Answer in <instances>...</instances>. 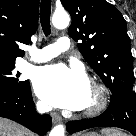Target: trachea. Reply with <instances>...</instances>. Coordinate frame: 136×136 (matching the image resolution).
Wrapping results in <instances>:
<instances>
[{
    "instance_id": "3493384b",
    "label": "trachea",
    "mask_w": 136,
    "mask_h": 136,
    "mask_svg": "<svg viewBox=\"0 0 136 136\" xmlns=\"http://www.w3.org/2000/svg\"><path fill=\"white\" fill-rule=\"evenodd\" d=\"M51 0H41L40 6V22L43 32L46 36L51 33L50 26Z\"/></svg>"
}]
</instances>
